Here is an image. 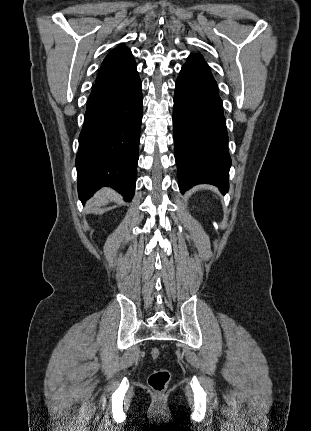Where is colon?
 I'll return each instance as SVG.
<instances>
[{"instance_id": "5ec220e1", "label": "colon", "mask_w": 311, "mask_h": 431, "mask_svg": "<svg viewBox=\"0 0 311 431\" xmlns=\"http://www.w3.org/2000/svg\"><path fill=\"white\" fill-rule=\"evenodd\" d=\"M150 355L154 360H156L160 355L159 349L157 347L152 348ZM169 380L170 372L165 368H161L153 371L150 374L148 378V384L154 392L162 393L166 390Z\"/></svg>"}]
</instances>
